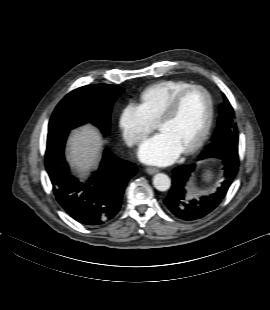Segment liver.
Returning <instances> with one entry per match:
<instances>
[{"instance_id": "liver-1", "label": "liver", "mask_w": 270, "mask_h": 310, "mask_svg": "<svg viewBox=\"0 0 270 310\" xmlns=\"http://www.w3.org/2000/svg\"><path fill=\"white\" fill-rule=\"evenodd\" d=\"M102 143L99 131L91 125L72 131L67 142V158L81 177L96 166L101 156Z\"/></svg>"}]
</instances>
